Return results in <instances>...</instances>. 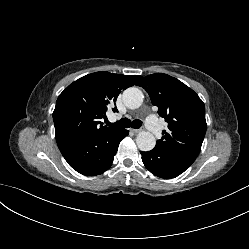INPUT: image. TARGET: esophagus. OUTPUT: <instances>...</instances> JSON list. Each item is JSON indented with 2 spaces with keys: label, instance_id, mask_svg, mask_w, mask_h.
<instances>
[{
  "label": "esophagus",
  "instance_id": "obj_1",
  "mask_svg": "<svg viewBox=\"0 0 249 249\" xmlns=\"http://www.w3.org/2000/svg\"><path fill=\"white\" fill-rule=\"evenodd\" d=\"M135 134L140 133L143 129H131Z\"/></svg>",
  "mask_w": 249,
  "mask_h": 249
}]
</instances>
